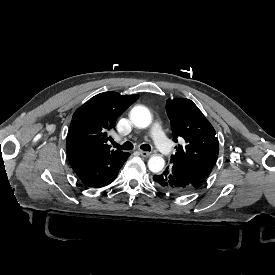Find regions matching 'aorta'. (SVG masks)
Wrapping results in <instances>:
<instances>
[{"mask_svg": "<svg viewBox=\"0 0 275 275\" xmlns=\"http://www.w3.org/2000/svg\"><path fill=\"white\" fill-rule=\"evenodd\" d=\"M130 120L137 128L143 129L152 123V116L147 107L136 105L130 111ZM164 165L165 161L161 156H152L148 161V168L153 173H159Z\"/></svg>", "mask_w": 275, "mask_h": 275, "instance_id": "762f6f07", "label": "aorta"}]
</instances>
